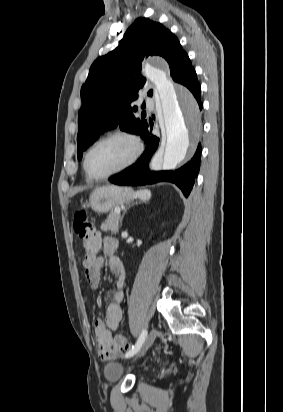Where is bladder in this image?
<instances>
[{"mask_svg":"<svg viewBox=\"0 0 283 412\" xmlns=\"http://www.w3.org/2000/svg\"><path fill=\"white\" fill-rule=\"evenodd\" d=\"M125 367L120 362H110L107 363L104 367V375L105 377L111 381L115 382L118 381L122 376L125 374Z\"/></svg>","mask_w":283,"mask_h":412,"instance_id":"31cf9c89","label":"bladder"}]
</instances>
